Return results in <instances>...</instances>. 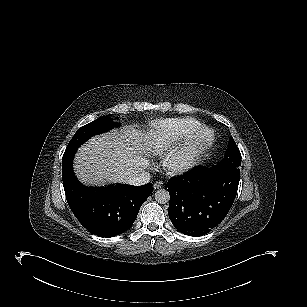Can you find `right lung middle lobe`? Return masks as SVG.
<instances>
[{
    "mask_svg": "<svg viewBox=\"0 0 307 307\" xmlns=\"http://www.w3.org/2000/svg\"><path fill=\"white\" fill-rule=\"evenodd\" d=\"M119 125L120 123L113 122L110 118H98L95 121L79 128L69 142L65 151L77 150V148L86 142L90 137L107 132Z\"/></svg>",
    "mask_w": 307,
    "mask_h": 307,
    "instance_id": "1",
    "label": "right lung middle lobe"
}]
</instances>
